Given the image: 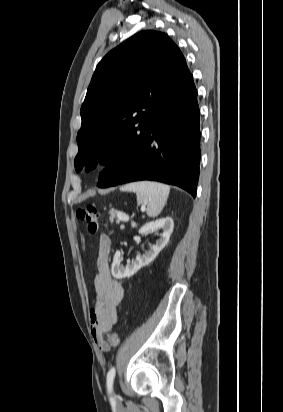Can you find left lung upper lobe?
I'll list each match as a JSON object with an SVG mask.
<instances>
[{
	"mask_svg": "<svg viewBox=\"0 0 283 412\" xmlns=\"http://www.w3.org/2000/svg\"><path fill=\"white\" fill-rule=\"evenodd\" d=\"M189 74L165 33L142 31L110 51L97 65L80 110L76 171L106 164L144 134Z\"/></svg>",
	"mask_w": 283,
	"mask_h": 412,
	"instance_id": "5c2ea615",
	"label": "left lung upper lobe"
}]
</instances>
